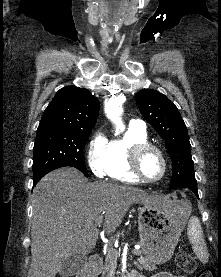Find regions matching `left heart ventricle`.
I'll return each instance as SVG.
<instances>
[{
	"label": "left heart ventricle",
	"instance_id": "obj_1",
	"mask_svg": "<svg viewBox=\"0 0 221 277\" xmlns=\"http://www.w3.org/2000/svg\"><path fill=\"white\" fill-rule=\"evenodd\" d=\"M163 165L159 155L154 151L147 152L141 160V170L148 179H157L162 173Z\"/></svg>",
	"mask_w": 221,
	"mask_h": 277
}]
</instances>
